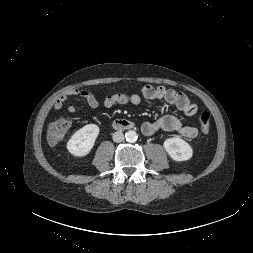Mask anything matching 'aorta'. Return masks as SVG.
<instances>
[{
	"instance_id": "1",
	"label": "aorta",
	"mask_w": 253,
	"mask_h": 253,
	"mask_svg": "<svg viewBox=\"0 0 253 253\" xmlns=\"http://www.w3.org/2000/svg\"><path fill=\"white\" fill-rule=\"evenodd\" d=\"M125 138L129 142H134L137 140L138 135L134 130H129L125 133Z\"/></svg>"
}]
</instances>
